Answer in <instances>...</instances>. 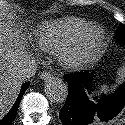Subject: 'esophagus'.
I'll use <instances>...</instances> for the list:
<instances>
[{"mask_svg":"<svg viewBox=\"0 0 125 125\" xmlns=\"http://www.w3.org/2000/svg\"><path fill=\"white\" fill-rule=\"evenodd\" d=\"M40 78L44 79V80L49 79V78H51V74L49 72H42L40 74Z\"/></svg>","mask_w":125,"mask_h":125,"instance_id":"1","label":"esophagus"}]
</instances>
